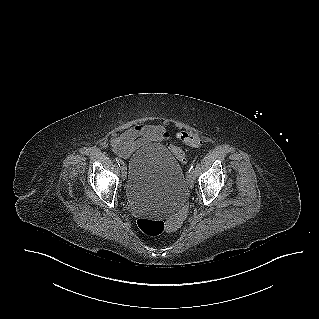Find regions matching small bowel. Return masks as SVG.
I'll return each instance as SVG.
<instances>
[{
    "instance_id": "obj_1",
    "label": "small bowel",
    "mask_w": 319,
    "mask_h": 319,
    "mask_svg": "<svg viewBox=\"0 0 319 319\" xmlns=\"http://www.w3.org/2000/svg\"><path fill=\"white\" fill-rule=\"evenodd\" d=\"M176 130V137L177 131ZM190 130V129H189ZM170 133L164 127L155 124L139 123L125 132L114 131L107 138L108 147L122 159L129 158L137 149L156 141L165 142Z\"/></svg>"
}]
</instances>
